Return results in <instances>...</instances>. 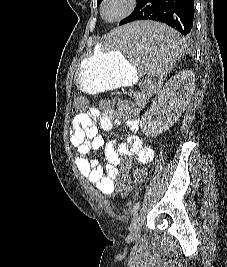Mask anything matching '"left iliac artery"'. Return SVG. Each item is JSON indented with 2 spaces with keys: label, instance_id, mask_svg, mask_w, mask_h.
Returning <instances> with one entry per match:
<instances>
[{
  "label": "left iliac artery",
  "instance_id": "left-iliac-artery-1",
  "mask_svg": "<svg viewBox=\"0 0 227 267\" xmlns=\"http://www.w3.org/2000/svg\"><path fill=\"white\" fill-rule=\"evenodd\" d=\"M139 206H140V202H136L132 208V214L133 216L137 213L138 209H139Z\"/></svg>",
  "mask_w": 227,
  "mask_h": 267
}]
</instances>
